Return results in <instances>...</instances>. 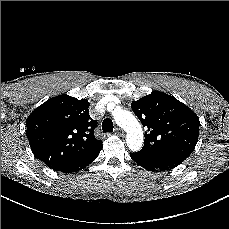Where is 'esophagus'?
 Listing matches in <instances>:
<instances>
[{
    "mask_svg": "<svg viewBox=\"0 0 229 229\" xmlns=\"http://www.w3.org/2000/svg\"><path fill=\"white\" fill-rule=\"evenodd\" d=\"M115 134L123 136L124 135V131L121 128H115Z\"/></svg>",
    "mask_w": 229,
    "mask_h": 229,
    "instance_id": "34e87169",
    "label": "esophagus"
}]
</instances>
